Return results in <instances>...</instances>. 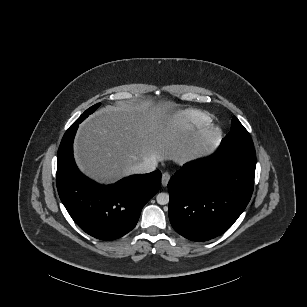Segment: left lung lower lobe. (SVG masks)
<instances>
[{"label":"left lung lower lobe","instance_id":"obj_1","mask_svg":"<svg viewBox=\"0 0 307 307\" xmlns=\"http://www.w3.org/2000/svg\"><path fill=\"white\" fill-rule=\"evenodd\" d=\"M256 167L254 145L221 143L188 162L168 183L169 219L176 232L207 241L227 231L250 201Z\"/></svg>","mask_w":307,"mask_h":307}]
</instances>
